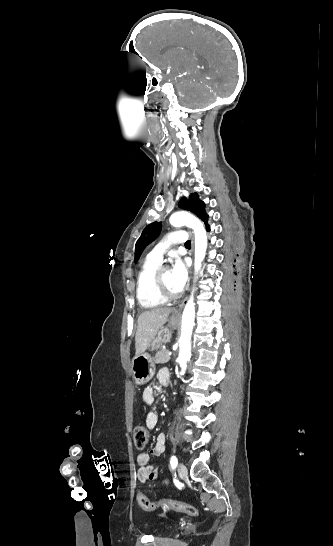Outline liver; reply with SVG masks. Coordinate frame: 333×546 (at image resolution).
<instances>
[{
    "instance_id": "obj_1",
    "label": "liver",
    "mask_w": 333,
    "mask_h": 546,
    "mask_svg": "<svg viewBox=\"0 0 333 546\" xmlns=\"http://www.w3.org/2000/svg\"><path fill=\"white\" fill-rule=\"evenodd\" d=\"M170 308L160 307L144 311L138 317L135 335V354L144 353L156 337L158 331L168 321Z\"/></svg>"
}]
</instances>
